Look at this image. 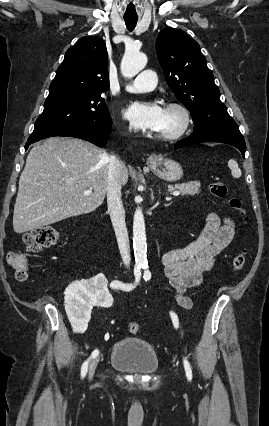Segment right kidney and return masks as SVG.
<instances>
[{
	"label": "right kidney",
	"mask_w": 269,
	"mask_h": 426,
	"mask_svg": "<svg viewBox=\"0 0 269 426\" xmlns=\"http://www.w3.org/2000/svg\"><path fill=\"white\" fill-rule=\"evenodd\" d=\"M104 273H96L94 278L71 281L65 292V310L70 321L75 320L83 329L87 328L91 309L109 311L113 296L107 289Z\"/></svg>",
	"instance_id": "obj_1"
}]
</instances>
